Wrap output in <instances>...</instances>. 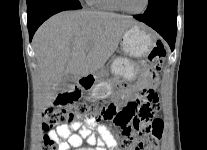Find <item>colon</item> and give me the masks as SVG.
I'll return each mask as SVG.
<instances>
[{"mask_svg": "<svg viewBox=\"0 0 207 150\" xmlns=\"http://www.w3.org/2000/svg\"><path fill=\"white\" fill-rule=\"evenodd\" d=\"M167 52L164 45L158 42L148 55L150 69L147 79L152 86L141 87L136 99H129L126 106L118 109L113 103L104 106L79 102L70 104L71 94L66 100H53V107L43 114V129L49 130L62 126L75 115H83L91 124L100 121H112L119 128V144L116 150H159L163 133V122L157 118L156 107L159 106V77ZM43 150H60V143L53 138L45 137Z\"/></svg>", "mask_w": 207, "mask_h": 150, "instance_id": "5ec220e1", "label": "colon"}]
</instances>
